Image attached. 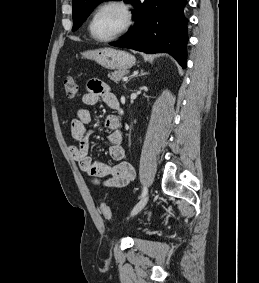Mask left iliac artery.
Returning <instances> with one entry per match:
<instances>
[{
	"mask_svg": "<svg viewBox=\"0 0 259 283\" xmlns=\"http://www.w3.org/2000/svg\"><path fill=\"white\" fill-rule=\"evenodd\" d=\"M146 194H147V188H146V186H144L142 193H141V198L144 197Z\"/></svg>",
	"mask_w": 259,
	"mask_h": 283,
	"instance_id": "left-iliac-artery-1",
	"label": "left iliac artery"
}]
</instances>
